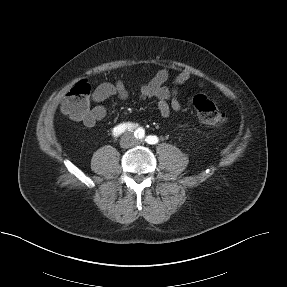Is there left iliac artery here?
<instances>
[{
    "label": "left iliac artery",
    "mask_w": 287,
    "mask_h": 287,
    "mask_svg": "<svg viewBox=\"0 0 287 287\" xmlns=\"http://www.w3.org/2000/svg\"><path fill=\"white\" fill-rule=\"evenodd\" d=\"M145 141H146L148 144L153 145V144H157L158 141H159V139H158L157 136H152V135H150V136H147V138L145 139Z\"/></svg>",
    "instance_id": "obj_1"
}]
</instances>
